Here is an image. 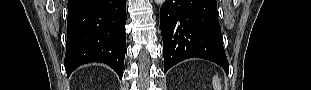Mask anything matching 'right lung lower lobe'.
I'll list each match as a JSON object with an SVG mask.
<instances>
[{"label": "right lung lower lobe", "mask_w": 311, "mask_h": 90, "mask_svg": "<svg viewBox=\"0 0 311 90\" xmlns=\"http://www.w3.org/2000/svg\"><path fill=\"white\" fill-rule=\"evenodd\" d=\"M125 23V0H69L65 54L68 76L93 61L109 65L122 78Z\"/></svg>", "instance_id": "obj_1"}]
</instances>
